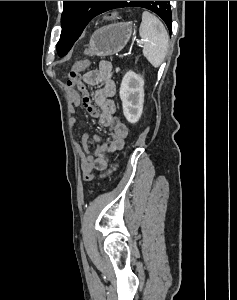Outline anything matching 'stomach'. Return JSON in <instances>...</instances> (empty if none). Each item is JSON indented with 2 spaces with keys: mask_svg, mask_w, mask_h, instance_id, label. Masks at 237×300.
<instances>
[{
  "mask_svg": "<svg viewBox=\"0 0 237 300\" xmlns=\"http://www.w3.org/2000/svg\"><path fill=\"white\" fill-rule=\"evenodd\" d=\"M132 23H113L101 27L90 37L87 49L84 55H98V57H107L115 55L124 49L132 35Z\"/></svg>",
  "mask_w": 237,
  "mask_h": 300,
  "instance_id": "stomach-1",
  "label": "stomach"
}]
</instances>
